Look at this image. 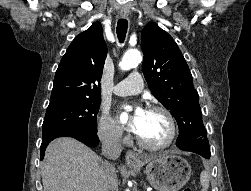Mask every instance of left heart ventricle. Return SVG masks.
Segmentation results:
<instances>
[{
  "label": "left heart ventricle",
  "mask_w": 251,
  "mask_h": 191,
  "mask_svg": "<svg viewBox=\"0 0 251 191\" xmlns=\"http://www.w3.org/2000/svg\"><path fill=\"white\" fill-rule=\"evenodd\" d=\"M169 132L166 117L161 112L148 111L138 134L148 143L158 145L167 141Z\"/></svg>",
  "instance_id": "b2bd125f"
}]
</instances>
